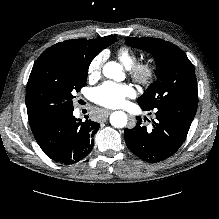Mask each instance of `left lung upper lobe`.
Wrapping results in <instances>:
<instances>
[{
    "label": "left lung upper lobe",
    "instance_id": "1",
    "mask_svg": "<svg viewBox=\"0 0 219 219\" xmlns=\"http://www.w3.org/2000/svg\"><path fill=\"white\" fill-rule=\"evenodd\" d=\"M134 48L150 52L157 64L159 80L138 98L140 107L154 109L187 99H198L195 70L186 54L176 45L157 38L126 37Z\"/></svg>",
    "mask_w": 219,
    "mask_h": 219
}]
</instances>
